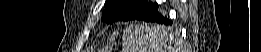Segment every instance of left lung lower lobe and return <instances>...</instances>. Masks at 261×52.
I'll list each match as a JSON object with an SVG mask.
<instances>
[{
    "mask_svg": "<svg viewBox=\"0 0 261 52\" xmlns=\"http://www.w3.org/2000/svg\"><path fill=\"white\" fill-rule=\"evenodd\" d=\"M155 4L150 9L146 10L137 20L171 25L172 22L157 11L158 5L157 3Z\"/></svg>",
    "mask_w": 261,
    "mask_h": 52,
    "instance_id": "0a47b994",
    "label": "left lung lower lobe"
}]
</instances>
